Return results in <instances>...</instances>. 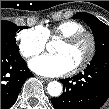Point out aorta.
<instances>
[{
	"mask_svg": "<svg viewBox=\"0 0 109 109\" xmlns=\"http://www.w3.org/2000/svg\"><path fill=\"white\" fill-rule=\"evenodd\" d=\"M47 91L52 97H58L62 92V84L58 81H52L47 85Z\"/></svg>",
	"mask_w": 109,
	"mask_h": 109,
	"instance_id": "1",
	"label": "aorta"
}]
</instances>
